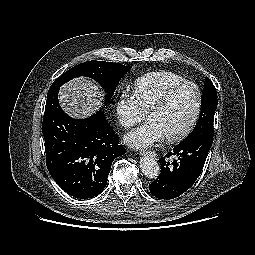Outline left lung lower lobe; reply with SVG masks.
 <instances>
[{"label":"left lung lower lobe","instance_id":"obj_1","mask_svg":"<svg viewBox=\"0 0 255 255\" xmlns=\"http://www.w3.org/2000/svg\"><path fill=\"white\" fill-rule=\"evenodd\" d=\"M213 142L211 135H199L183 141L159 162L161 174L149 185L150 192L160 199H174L187 191L199 177ZM175 155L172 163L166 158Z\"/></svg>","mask_w":255,"mask_h":255}]
</instances>
